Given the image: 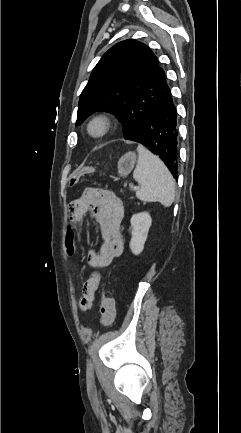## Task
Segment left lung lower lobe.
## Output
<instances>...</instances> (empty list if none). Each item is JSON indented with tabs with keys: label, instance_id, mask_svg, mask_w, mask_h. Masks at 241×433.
I'll return each mask as SVG.
<instances>
[{
	"label": "left lung lower lobe",
	"instance_id": "left-lung-lower-lobe-1",
	"mask_svg": "<svg viewBox=\"0 0 241 433\" xmlns=\"http://www.w3.org/2000/svg\"><path fill=\"white\" fill-rule=\"evenodd\" d=\"M138 142L166 164L175 179H178V118L169 87L146 119L127 137Z\"/></svg>",
	"mask_w": 241,
	"mask_h": 433
}]
</instances>
